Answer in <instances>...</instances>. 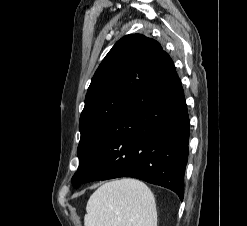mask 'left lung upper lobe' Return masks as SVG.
I'll list each match as a JSON object with an SVG mask.
<instances>
[{"label":"left lung upper lobe","instance_id":"left-lung-upper-lobe-1","mask_svg":"<svg viewBox=\"0 0 247 226\" xmlns=\"http://www.w3.org/2000/svg\"><path fill=\"white\" fill-rule=\"evenodd\" d=\"M162 51L157 41L142 34H130L117 41L99 65L80 116L79 167L72 178L74 186L80 183L79 172L93 148Z\"/></svg>","mask_w":247,"mask_h":226}]
</instances>
